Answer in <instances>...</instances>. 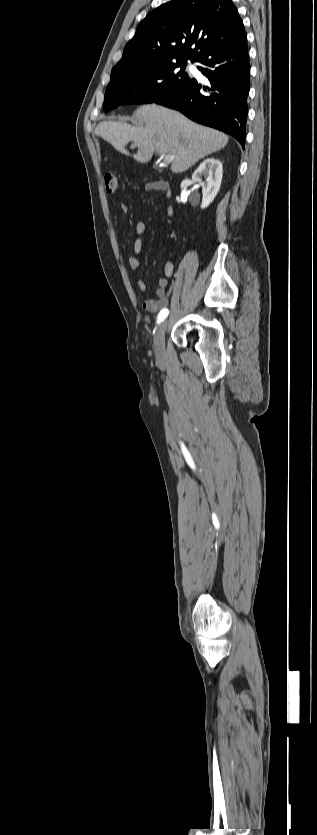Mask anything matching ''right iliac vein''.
Instances as JSON below:
<instances>
[{
  "label": "right iliac vein",
  "instance_id": "63e3f726",
  "mask_svg": "<svg viewBox=\"0 0 317 835\" xmlns=\"http://www.w3.org/2000/svg\"><path fill=\"white\" fill-rule=\"evenodd\" d=\"M168 326V320H164L159 324L155 334V348L158 355H161L164 350L165 332Z\"/></svg>",
  "mask_w": 317,
  "mask_h": 835
}]
</instances>
